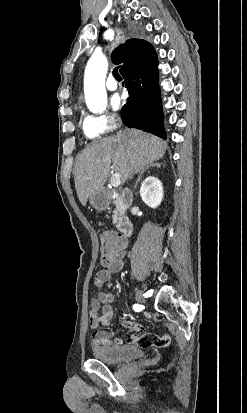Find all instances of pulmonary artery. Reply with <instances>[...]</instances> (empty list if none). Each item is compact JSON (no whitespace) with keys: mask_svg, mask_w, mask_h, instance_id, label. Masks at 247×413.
Returning a JSON list of instances; mask_svg holds the SVG:
<instances>
[{"mask_svg":"<svg viewBox=\"0 0 247 413\" xmlns=\"http://www.w3.org/2000/svg\"><path fill=\"white\" fill-rule=\"evenodd\" d=\"M106 88L109 91H115L118 89V82L113 76H109L106 80Z\"/></svg>","mask_w":247,"mask_h":413,"instance_id":"e3ab8cb5","label":"pulmonary artery"}]
</instances>
